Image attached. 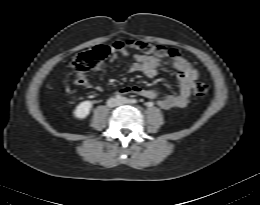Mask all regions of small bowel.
<instances>
[{
  "mask_svg": "<svg viewBox=\"0 0 260 205\" xmlns=\"http://www.w3.org/2000/svg\"><path fill=\"white\" fill-rule=\"evenodd\" d=\"M118 51L112 49L111 61L118 58ZM161 59L151 55L136 54L134 62L130 66V71L141 72L147 77H155L158 74L161 66ZM172 66L177 70V77L179 80V89L175 94L162 95L157 89H147L139 85L125 86L117 91V95L127 96L135 94L148 99H157V105L164 109L169 110L173 108H184L187 106L191 90L195 80L199 77V71L191 65L186 59L179 57L176 60H170ZM103 65H98L94 73L102 71ZM74 82L78 86L85 88H92L93 84L91 77L84 73H77L74 77ZM97 91H102L100 86L96 87Z\"/></svg>",
  "mask_w": 260,
  "mask_h": 205,
  "instance_id": "1",
  "label": "small bowel"
}]
</instances>
